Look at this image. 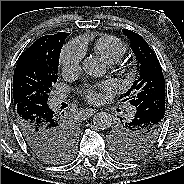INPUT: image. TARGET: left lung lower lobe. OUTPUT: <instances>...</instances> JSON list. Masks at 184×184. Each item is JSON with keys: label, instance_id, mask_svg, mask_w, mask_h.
I'll list each match as a JSON object with an SVG mask.
<instances>
[{"label": "left lung lower lobe", "instance_id": "left-lung-lower-lobe-1", "mask_svg": "<svg viewBox=\"0 0 184 184\" xmlns=\"http://www.w3.org/2000/svg\"><path fill=\"white\" fill-rule=\"evenodd\" d=\"M136 109L135 116L129 122L131 125L142 127L161 124L163 123L165 115V95H154L138 105ZM158 132L159 133L153 137V140L158 139L157 137H159L161 129H159Z\"/></svg>", "mask_w": 184, "mask_h": 184}]
</instances>
